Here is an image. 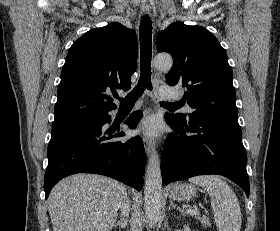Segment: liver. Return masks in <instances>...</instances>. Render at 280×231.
I'll return each instance as SVG.
<instances>
[{"mask_svg": "<svg viewBox=\"0 0 280 231\" xmlns=\"http://www.w3.org/2000/svg\"><path fill=\"white\" fill-rule=\"evenodd\" d=\"M125 193L123 183L95 173L61 179L49 197L53 231H110Z\"/></svg>", "mask_w": 280, "mask_h": 231, "instance_id": "6515ba94", "label": "liver"}]
</instances>
